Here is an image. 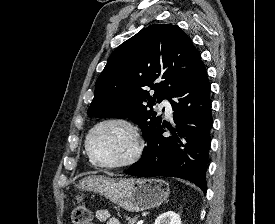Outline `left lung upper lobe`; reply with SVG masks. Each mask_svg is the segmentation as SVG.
Returning a JSON list of instances; mask_svg holds the SVG:
<instances>
[{
    "instance_id": "1",
    "label": "left lung upper lobe",
    "mask_w": 275,
    "mask_h": 224,
    "mask_svg": "<svg viewBox=\"0 0 275 224\" xmlns=\"http://www.w3.org/2000/svg\"><path fill=\"white\" fill-rule=\"evenodd\" d=\"M203 66L199 51L177 25H150L110 55L87 114L129 117L148 138L162 123L152 106L170 99ZM148 87L155 91L153 97Z\"/></svg>"
}]
</instances>
